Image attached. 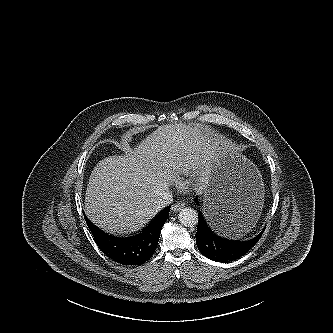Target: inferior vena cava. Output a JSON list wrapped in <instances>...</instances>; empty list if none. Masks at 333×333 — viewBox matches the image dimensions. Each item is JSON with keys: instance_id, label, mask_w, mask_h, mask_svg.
<instances>
[{"instance_id": "obj_1", "label": "inferior vena cava", "mask_w": 333, "mask_h": 333, "mask_svg": "<svg viewBox=\"0 0 333 333\" xmlns=\"http://www.w3.org/2000/svg\"><path fill=\"white\" fill-rule=\"evenodd\" d=\"M173 202L172 193L165 191L160 194L159 198L156 201V209L161 210L162 208L170 205Z\"/></svg>"}]
</instances>
